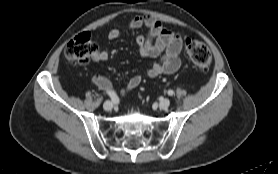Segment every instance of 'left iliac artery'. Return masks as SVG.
Returning <instances> with one entry per match:
<instances>
[{
    "label": "left iliac artery",
    "mask_w": 278,
    "mask_h": 174,
    "mask_svg": "<svg viewBox=\"0 0 278 174\" xmlns=\"http://www.w3.org/2000/svg\"><path fill=\"white\" fill-rule=\"evenodd\" d=\"M167 93H168V95H169V96H173V95H174V91H173V90H171V89H170V90H168V92H167Z\"/></svg>",
    "instance_id": "obj_1"
}]
</instances>
